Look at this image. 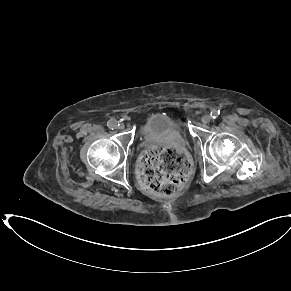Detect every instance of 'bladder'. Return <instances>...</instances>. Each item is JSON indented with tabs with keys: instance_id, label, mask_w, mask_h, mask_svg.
Returning a JSON list of instances; mask_svg holds the SVG:
<instances>
[{
	"instance_id": "bladder-1",
	"label": "bladder",
	"mask_w": 291,
	"mask_h": 291,
	"mask_svg": "<svg viewBox=\"0 0 291 291\" xmlns=\"http://www.w3.org/2000/svg\"><path fill=\"white\" fill-rule=\"evenodd\" d=\"M139 136L142 139L168 136L183 141L185 137V127L178 119H173L167 115H154L143 123L139 131Z\"/></svg>"
}]
</instances>
